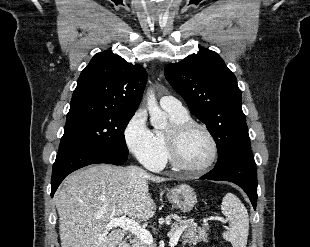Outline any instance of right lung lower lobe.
<instances>
[{"instance_id": "98d812e1", "label": "right lung lower lobe", "mask_w": 310, "mask_h": 247, "mask_svg": "<svg viewBox=\"0 0 310 247\" xmlns=\"http://www.w3.org/2000/svg\"><path fill=\"white\" fill-rule=\"evenodd\" d=\"M127 161V155L90 147H68L59 150L53 165L51 179V197L62 180L71 172L90 164L108 163L121 165Z\"/></svg>"}]
</instances>
